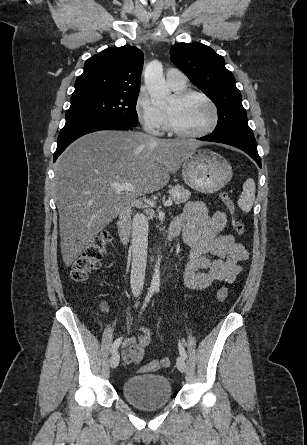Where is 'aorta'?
I'll use <instances>...</instances> for the list:
<instances>
[{
    "instance_id": "aorta-1",
    "label": "aorta",
    "mask_w": 307,
    "mask_h": 445,
    "mask_svg": "<svg viewBox=\"0 0 307 445\" xmlns=\"http://www.w3.org/2000/svg\"><path fill=\"white\" fill-rule=\"evenodd\" d=\"M144 80L151 96L152 104L168 106V104L173 102L171 90L168 88L163 74V64L160 60H151V62H148L144 70ZM160 263L161 259L158 257L149 287L150 291H159L160 289Z\"/></svg>"
}]
</instances>
